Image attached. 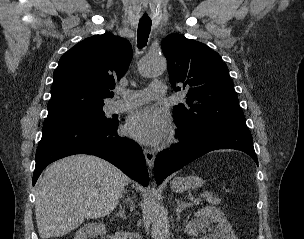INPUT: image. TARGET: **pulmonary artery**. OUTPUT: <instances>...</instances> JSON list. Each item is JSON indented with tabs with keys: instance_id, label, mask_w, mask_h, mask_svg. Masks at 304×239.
<instances>
[{
	"instance_id": "1",
	"label": "pulmonary artery",
	"mask_w": 304,
	"mask_h": 239,
	"mask_svg": "<svg viewBox=\"0 0 304 239\" xmlns=\"http://www.w3.org/2000/svg\"><path fill=\"white\" fill-rule=\"evenodd\" d=\"M117 92L122 98L110 104L109 109L111 112H122L161 98L166 93V85L163 82H154L147 89L118 90Z\"/></svg>"
}]
</instances>
